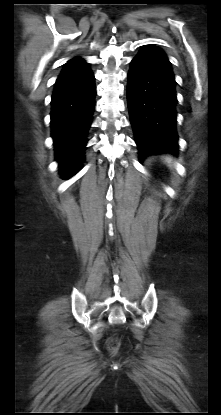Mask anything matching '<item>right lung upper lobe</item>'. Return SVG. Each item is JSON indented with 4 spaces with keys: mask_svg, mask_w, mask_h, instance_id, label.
Returning a JSON list of instances; mask_svg holds the SVG:
<instances>
[{
    "mask_svg": "<svg viewBox=\"0 0 221 415\" xmlns=\"http://www.w3.org/2000/svg\"><path fill=\"white\" fill-rule=\"evenodd\" d=\"M86 62L84 60H82L81 58H74L72 60H70L69 62H67L65 64V66H74V65H81V64H85ZM64 66V67H65Z\"/></svg>",
    "mask_w": 221,
    "mask_h": 415,
    "instance_id": "obj_1",
    "label": "right lung upper lobe"
}]
</instances>
